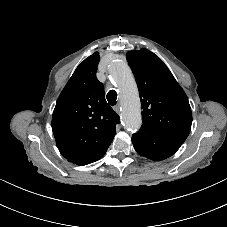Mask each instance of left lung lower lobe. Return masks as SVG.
<instances>
[{
  "instance_id": "1",
  "label": "left lung lower lobe",
  "mask_w": 227,
  "mask_h": 227,
  "mask_svg": "<svg viewBox=\"0 0 227 227\" xmlns=\"http://www.w3.org/2000/svg\"><path fill=\"white\" fill-rule=\"evenodd\" d=\"M132 142L135 150L151 160H163L172 156L183 144L155 130L141 127L133 134Z\"/></svg>"
}]
</instances>
